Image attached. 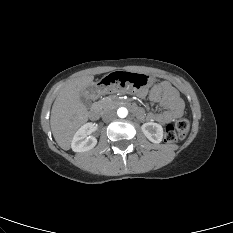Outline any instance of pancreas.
<instances>
[{
	"mask_svg": "<svg viewBox=\"0 0 233 233\" xmlns=\"http://www.w3.org/2000/svg\"><path fill=\"white\" fill-rule=\"evenodd\" d=\"M117 105L118 101L114 97H105L96 102V106L99 107L102 111L113 109Z\"/></svg>",
	"mask_w": 233,
	"mask_h": 233,
	"instance_id": "pancreas-1",
	"label": "pancreas"
}]
</instances>
